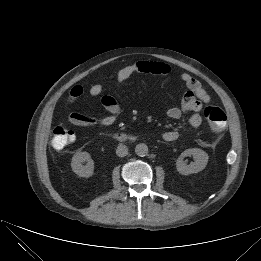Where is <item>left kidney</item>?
<instances>
[{
  "label": "left kidney",
  "instance_id": "1",
  "mask_svg": "<svg viewBox=\"0 0 261 261\" xmlns=\"http://www.w3.org/2000/svg\"><path fill=\"white\" fill-rule=\"evenodd\" d=\"M193 156L196 160L195 162H191L187 165L183 158L186 156ZM209 156L208 154L199 148H190L186 149L184 152L181 153L180 157L177 159L176 162V169L182 175H190L193 173H198L205 169L208 163Z\"/></svg>",
  "mask_w": 261,
  "mask_h": 261
}]
</instances>
